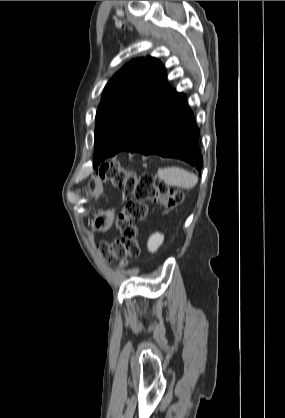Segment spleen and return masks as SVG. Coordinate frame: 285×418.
Instances as JSON below:
<instances>
[{
	"label": "spleen",
	"instance_id": "spleen-1",
	"mask_svg": "<svg viewBox=\"0 0 285 418\" xmlns=\"http://www.w3.org/2000/svg\"><path fill=\"white\" fill-rule=\"evenodd\" d=\"M158 177L168 185L184 189H191L198 182V178L195 174L179 167H166L159 169Z\"/></svg>",
	"mask_w": 285,
	"mask_h": 418
}]
</instances>
